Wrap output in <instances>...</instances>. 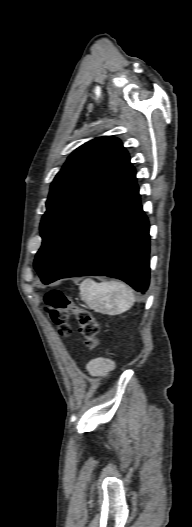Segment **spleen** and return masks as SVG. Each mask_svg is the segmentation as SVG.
Here are the masks:
<instances>
[{
    "instance_id": "obj_1",
    "label": "spleen",
    "mask_w": 192,
    "mask_h": 527,
    "mask_svg": "<svg viewBox=\"0 0 192 527\" xmlns=\"http://www.w3.org/2000/svg\"><path fill=\"white\" fill-rule=\"evenodd\" d=\"M79 289L89 307L100 312L120 314L129 310L135 302L132 289L116 281L96 283L85 279Z\"/></svg>"
}]
</instances>
